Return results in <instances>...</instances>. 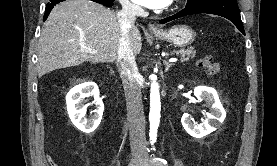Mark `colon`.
Segmentation results:
<instances>
[{"instance_id":"colon-1","label":"colon","mask_w":277,"mask_h":166,"mask_svg":"<svg viewBox=\"0 0 277 166\" xmlns=\"http://www.w3.org/2000/svg\"><path fill=\"white\" fill-rule=\"evenodd\" d=\"M199 65L205 68L209 73L216 74L220 70V64L214 61L210 56H205L199 61Z\"/></svg>"}]
</instances>
